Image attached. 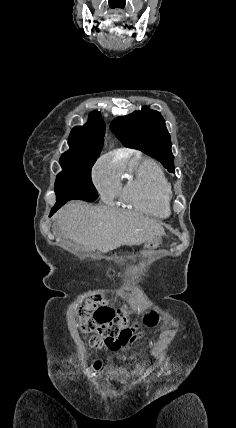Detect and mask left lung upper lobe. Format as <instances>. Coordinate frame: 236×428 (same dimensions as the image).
<instances>
[{"instance_id":"1","label":"left lung upper lobe","mask_w":236,"mask_h":428,"mask_svg":"<svg viewBox=\"0 0 236 428\" xmlns=\"http://www.w3.org/2000/svg\"><path fill=\"white\" fill-rule=\"evenodd\" d=\"M110 128L125 147L156 158L169 172L175 173L170 135L159 112L145 106L114 119Z\"/></svg>"}]
</instances>
